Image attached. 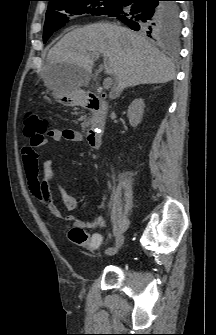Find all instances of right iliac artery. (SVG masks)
Returning <instances> with one entry per match:
<instances>
[{"label":"right iliac artery","instance_id":"1","mask_svg":"<svg viewBox=\"0 0 216 335\" xmlns=\"http://www.w3.org/2000/svg\"><path fill=\"white\" fill-rule=\"evenodd\" d=\"M113 251H114V248L113 247H109V248L106 249V254L112 255Z\"/></svg>","mask_w":216,"mask_h":335}]
</instances>
